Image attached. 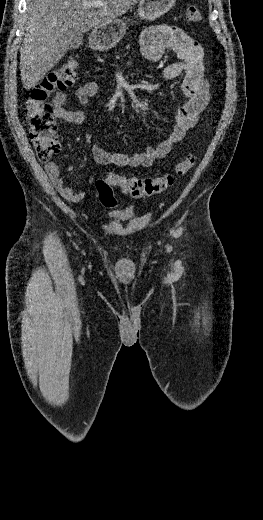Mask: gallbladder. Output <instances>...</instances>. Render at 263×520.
<instances>
[{
  "instance_id": "gallbladder-1",
  "label": "gallbladder",
  "mask_w": 263,
  "mask_h": 520,
  "mask_svg": "<svg viewBox=\"0 0 263 520\" xmlns=\"http://www.w3.org/2000/svg\"><path fill=\"white\" fill-rule=\"evenodd\" d=\"M68 41H69V49H77L81 46L83 41L82 34L77 33L74 30H70V33L68 35Z\"/></svg>"
}]
</instances>
